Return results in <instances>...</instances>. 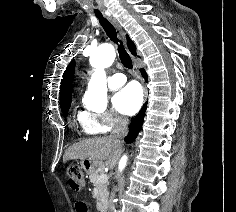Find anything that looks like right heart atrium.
Returning <instances> with one entry per match:
<instances>
[{"label": "right heart atrium", "instance_id": "right-heart-atrium-1", "mask_svg": "<svg viewBox=\"0 0 236 212\" xmlns=\"http://www.w3.org/2000/svg\"><path fill=\"white\" fill-rule=\"evenodd\" d=\"M123 123V119L112 110L102 113L84 112L82 116V129L86 134L106 133Z\"/></svg>", "mask_w": 236, "mask_h": 212}]
</instances>
